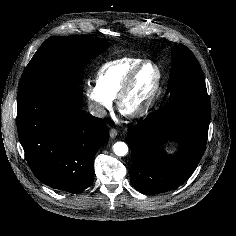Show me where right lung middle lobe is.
Here are the masks:
<instances>
[{
  "instance_id": "1",
  "label": "right lung middle lobe",
  "mask_w": 236,
  "mask_h": 236,
  "mask_svg": "<svg viewBox=\"0 0 236 236\" xmlns=\"http://www.w3.org/2000/svg\"><path fill=\"white\" fill-rule=\"evenodd\" d=\"M110 46L102 38L75 35L46 40L25 68L19 90L51 82L82 83L83 67Z\"/></svg>"
}]
</instances>
